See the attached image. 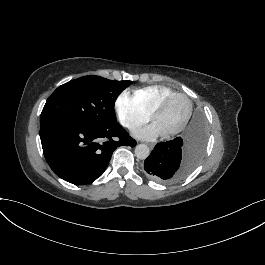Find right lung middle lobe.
Listing matches in <instances>:
<instances>
[{
  "mask_svg": "<svg viewBox=\"0 0 265 265\" xmlns=\"http://www.w3.org/2000/svg\"><path fill=\"white\" fill-rule=\"evenodd\" d=\"M130 83V80L112 81L92 75L71 80L48 98L40 116V126L65 119L99 125L115 123V101Z\"/></svg>",
  "mask_w": 265,
  "mask_h": 265,
  "instance_id": "right-lung-middle-lobe-1",
  "label": "right lung middle lobe"
}]
</instances>
